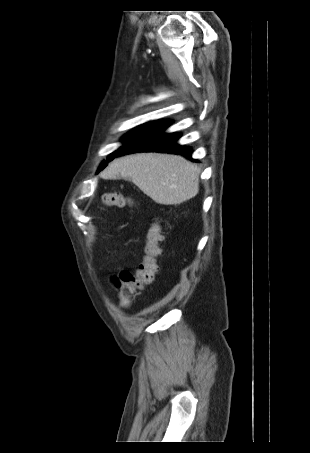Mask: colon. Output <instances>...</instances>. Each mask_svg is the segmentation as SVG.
Masks as SVG:
<instances>
[{
  "instance_id": "colon-1",
  "label": "colon",
  "mask_w": 310,
  "mask_h": 453,
  "mask_svg": "<svg viewBox=\"0 0 310 453\" xmlns=\"http://www.w3.org/2000/svg\"><path fill=\"white\" fill-rule=\"evenodd\" d=\"M102 203L105 206L126 207L134 204L131 197L121 193H107L102 196ZM163 236L160 224L154 222L147 234L145 254L142 263L135 271L124 270L119 278L114 279V284L119 291L120 304L127 308L132 303V296L145 285L153 282L155 273L158 270L157 259L161 253L160 243Z\"/></svg>"
}]
</instances>
